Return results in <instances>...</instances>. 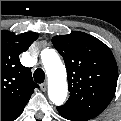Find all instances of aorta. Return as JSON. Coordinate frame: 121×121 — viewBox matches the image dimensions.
<instances>
[{
  "label": "aorta",
  "instance_id": "aorta-1",
  "mask_svg": "<svg viewBox=\"0 0 121 121\" xmlns=\"http://www.w3.org/2000/svg\"><path fill=\"white\" fill-rule=\"evenodd\" d=\"M41 59L48 76L49 99L55 105H62L68 92L65 67L53 49H44Z\"/></svg>",
  "mask_w": 121,
  "mask_h": 121
}]
</instances>
